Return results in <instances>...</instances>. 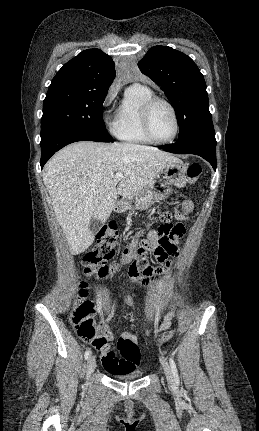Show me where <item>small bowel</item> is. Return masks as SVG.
<instances>
[{
    "instance_id": "small-bowel-1",
    "label": "small bowel",
    "mask_w": 259,
    "mask_h": 431,
    "mask_svg": "<svg viewBox=\"0 0 259 431\" xmlns=\"http://www.w3.org/2000/svg\"><path fill=\"white\" fill-rule=\"evenodd\" d=\"M178 214H181V217H178ZM176 218L179 220L187 219L186 215L183 213H177ZM152 236H154V231H151L149 233L148 238ZM177 244H179V242H177ZM178 255H179V251L178 249H176L175 253L172 256L177 257ZM171 265H172V262H168L166 267L164 268H153L151 266H148V267L131 266L128 269L127 278L130 281H133L134 283L141 282L140 284L143 287L146 285H155V282H152V281L159 280L158 276L162 274L165 270L170 268ZM121 301L124 304H127L132 307H135L137 305L136 302L130 297H124L121 299ZM173 319H174V311H173V307L170 306L168 312L164 315L159 328L155 329L153 332L158 333L159 331L167 329L171 325ZM102 335L105 338V343L103 345L94 346V347L101 352L102 365L106 371H108L109 373L121 372L124 365H129L132 367V369H135L139 365L141 360V355L139 351L134 357L120 354L121 357L119 358L117 357L115 352L110 350L109 342L113 339V333L107 322H105V324L102 327ZM137 339L138 338L135 334L125 332L120 338V341L121 340L131 341L136 344Z\"/></svg>"
}]
</instances>
